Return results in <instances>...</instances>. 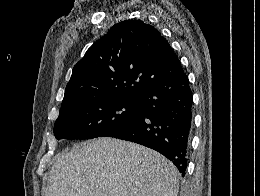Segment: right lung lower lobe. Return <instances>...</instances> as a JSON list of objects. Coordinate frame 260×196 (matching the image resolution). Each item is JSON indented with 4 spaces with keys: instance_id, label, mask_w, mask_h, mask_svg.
<instances>
[{
    "instance_id": "1",
    "label": "right lung lower lobe",
    "mask_w": 260,
    "mask_h": 196,
    "mask_svg": "<svg viewBox=\"0 0 260 196\" xmlns=\"http://www.w3.org/2000/svg\"><path fill=\"white\" fill-rule=\"evenodd\" d=\"M193 95L183 72L138 98L143 118L106 137L132 141L154 149L185 176L190 147Z\"/></svg>"
}]
</instances>
